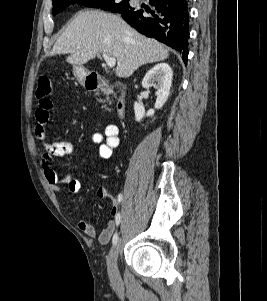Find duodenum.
<instances>
[{
	"mask_svg": "<svg viewBox=\"0 0 267 301\" xmlns=\"http://www.w3.org/2000/svg\"><path fill=\"white\" fill-rule=\"evenodd\" d=\"M85 87L90 91H101L110 94L112 91L117 93L116 113L123 118L126 112V98L124 95L125 86L121 82L110 83L100 78L98 75L86 74L84 76Z\"/></svg>",
	"mask_w": 267,
	"mask_h": 301,
	"instance_id": "duodenum-1",
	"label": "duodenum"
}]
</instances>
